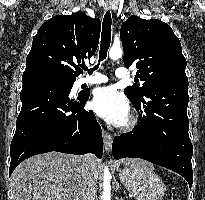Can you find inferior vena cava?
I'll return each mask as SVG.
<instances>
[{
    "instance_id": "obj_1",
    "label": "inferior vena cava",
    "mask_w": 205,
    "mask_h": 200,
    "mask_svg": "<svg viewBox=\"0 0 205 200\" xmlns=\"http://www.w3.org/2000/svg\"><path fill=\"white\" fill-rule=\"evenodd\" d=\"M95 161L96 158L92 154L82 156L80 167L82 200H96L97 176Z\"/></svg>"
}]
</instances>
